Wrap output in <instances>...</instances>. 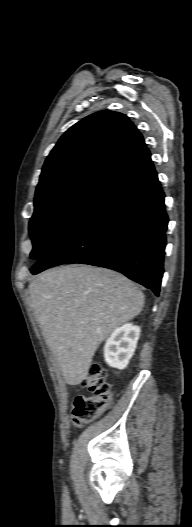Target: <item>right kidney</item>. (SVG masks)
Segmentation results:
<instances>
[{"label": "right kidney", "mask_w": 192, "mask_h": 527, "mask_svg": "<svg viewBox=\"0 0 192 527\" xmlns=\"http://www.w3.org/2000/svg\"><path fill=\"white\" fill-rule=\"evenodd\" d=\"M140 335V327L125 324L113 331L104 346L106 363L118 369L127 367L134 354Z\"/></svg>", "instance_id": "1"}]
</instances>
